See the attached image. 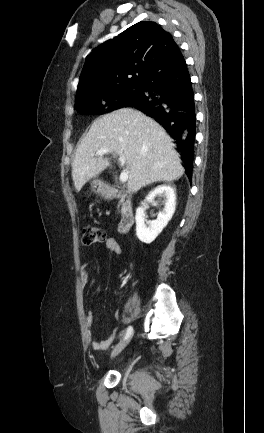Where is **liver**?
I'll list each match as a JSON object with an SVG mask.
<instances>
[{
    "label": "liver",
    "instance_id": "obj_1",
    "mask_svg": "<svg viewBox=\"0 0 264 433\" xmlns=\"http://www.w3.org/2000/svg\"><path fill=\"white\" fill-rule=\"evenodd\" d=\"M108 148L126 158L127 188L137 192L154 182H171L184 174L172 139L153 119L143 113L122 108L96 119L76 149L72 178L77 192L87 181L111 167L99 149Z\"/></svg>",
    "mask_w": 264,
    "mask_h": 433
}]
</instances>
